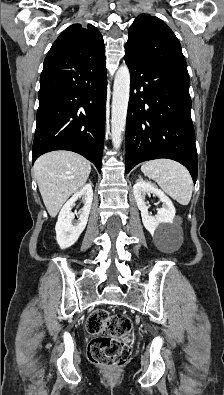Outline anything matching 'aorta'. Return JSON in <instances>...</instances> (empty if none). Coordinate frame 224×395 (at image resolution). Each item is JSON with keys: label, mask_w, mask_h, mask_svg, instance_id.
Returning <instances> with one entry per match:
<instances>
[{"label": "aorta", "mask_w": 224, "mask_h": 395, "mask_svg": "<svg viewBox=\"0 0 224 395\" xmlns=\"http://www.w3.org/2000/svg\"><path fill=\"white\" fill-rule=\"evenodd\" d=\"M130 96V72L122 65L116 72L113 84L111 111V140L113 147L119 149L125 131L128 102Z\"/></svg>", "instance_id": "obj_1"}]
</instances>
